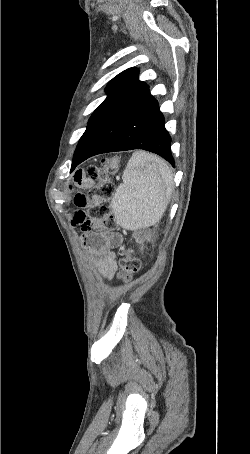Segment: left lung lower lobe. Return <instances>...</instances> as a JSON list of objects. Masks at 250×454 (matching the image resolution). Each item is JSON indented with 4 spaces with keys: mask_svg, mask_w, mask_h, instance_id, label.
I'll return each mask as SVG.
<instances>
[{
    "mask_svg": "<svg viewBox=\"0 0 250 454\" xmlns=\"http://www.w3.org/2000/svg\"><path fill=\"white\" fill-rule=\"evenodd\" d=\"M164 124L158 103L146 86L101 124L84 152L73 158L71 171L91 156L132 149L156 153L175 167Z\"/></svg>",
    "mask_w": 250,
    "mask_h": 454,
    "instance_id": "0a47b994",
    "label": "left lung lower lobe"
}]
</instances>
